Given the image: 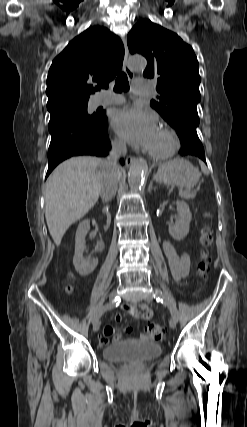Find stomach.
<instances>
[{
	"instance_id": "stomach-1",
	"label": "stomach",
	"mask_w": 247,
	"mask_h": 427,
	"mask_svg": "<svg viewBox=\"0 0 247 427\" xmlns=\"http://www.w3.org/2000/svg\"><path fill=\"white\" fill-rule=\"evenodd\" d=\"M198 170L187 160L175 158L160 166L155 179L159 183L192 189L199 181Z\"/></svg>"
}]
</instances>
